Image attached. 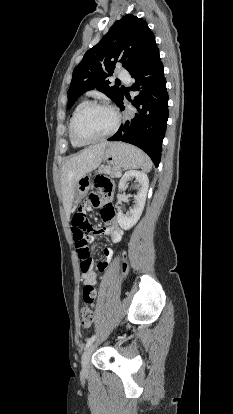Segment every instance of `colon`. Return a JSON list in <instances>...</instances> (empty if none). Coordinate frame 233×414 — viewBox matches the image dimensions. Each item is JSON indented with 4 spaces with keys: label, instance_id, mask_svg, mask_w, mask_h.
Segmentation results:
<instances>
[{
    "label": "colon",
    "instance_id": "5ec220e1",
    "mask_svg": "<svg viewBox=\"0 0 233 414\" xmlns=\"http://www.w3.org/2000/svg\"><path fill=\"white\" fill-rule=\"evenodd\" d=\"M95 186L105 194L111 193L113 184L110 179L99 176L95 179ZM106 210V208H104ZM103 210V211H104ZM74 228V240L78 251L80 260L81 271H88L92 268L93 262L89 251V243L91 240L92 228L86 218V215L82 211H78L74 214L73 219ZM128 270L126 261L122 264V272L126 275ZM96 296L95 288L91 285H86L83 288V300L84 306L82 308V325L85 328H89L94 321V300Z\"/></svg>",
    "mask_w": 233,
    "mask_h": 414
}]
</instances>
